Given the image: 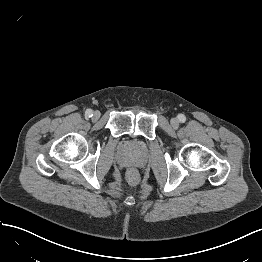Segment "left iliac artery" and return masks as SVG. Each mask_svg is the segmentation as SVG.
I'll list each match as a JSON object with an SVG mask.
<instances>
[{
    "instance_id": "44dca946",
    "label": "left iliac artery",
    "mask_w": 262,
    "mask_h": 262,
    "mask_svg": "<svg viewBox=\"0 0 262 262\" xmlns=\"http://www.w3.org/2000/svg\"><path fill=\"white\" fill-rule=\"evenodd\" d=\"M178 119L180 122L184 123L186 120V117L183 114L178 115Z\"/></svg>"
}]
</instances>
